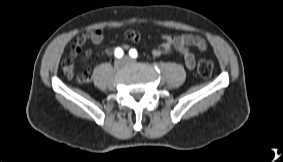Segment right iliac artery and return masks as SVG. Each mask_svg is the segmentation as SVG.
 <instances>
[{"instance_id": "82829eb1", "label": "right iliac artery", "mask_w": 283, "mask_h": 162, "mask_svg": "<svg viewBox=\"0 0 283 162\" xmlns=\"http://www.w3.org/2000/svg\"><path fill=\"white\" fill-rule=\"evenodd\" d=\"M124 52L121 48H116L115 49V52H114V55L115 57L117 58H121L123 56Z\"/></svg>"}]
</instances>
